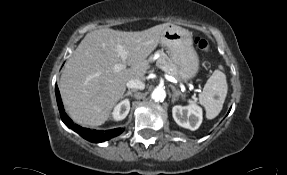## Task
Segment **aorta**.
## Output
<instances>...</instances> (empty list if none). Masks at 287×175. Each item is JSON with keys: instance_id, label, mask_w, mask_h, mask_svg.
<instances>
[{"instance_id": "obj_1", "label": "aorta", "mask_w": 287, "mask_h": 175, "mask_svg": "<svg viewBox=\"0 0 287 175\" xmlns=\"http://www.w3.org/2000/svg\"><path fill=\"white\" fill-rule=\"evenodd\" d=\"M151 97L155 101H163L166 97V91L163 88L157 87L153 90Z\"/></svg>"}]
</instances>
